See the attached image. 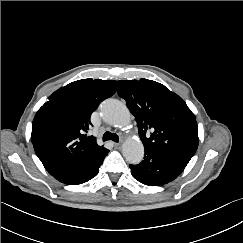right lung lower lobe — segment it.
I'll use <instances>...</instances> for the list:
<instances>
[{"label":"right lung lower lobe","mask_w":243,"mask_h":243,"mask_svg":"<svg viewBox=\"0 0 243 243\" xmlns=\"http://www.w3.org/2000/svg\"><path fill=\"white\" fill-rule=\"evenodd\" d=\"M109 150L104 149L92 156L73 158L59 163L47 171L58 181L78 185L95 177Z\"/></svg>","instance_id":"1"}]
</instances>
